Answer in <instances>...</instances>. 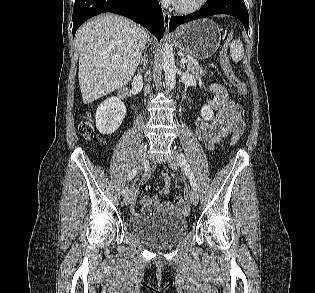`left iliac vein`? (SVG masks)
<instances>
[{"label": "left iliac vein", "mask_w": 315, "mask_h": 293, "mask_svg": "<svg viewBox=\"0 0 315 293\" xmlns=\"http://www.w3.org/2000/svg\"><path fill=\"white\" fill-rule=\"evenodd\" d=\"M167 163L169 165L170 168L172 169H177L179 167V155L178 152L176 150H172L170 156L167 159ZM189 198L191 203L196 206L198 205L199 202V197L198 194L195 190L191 189L189 191Z\"/></svg>", "instance_id": "1"}]
</instances>
